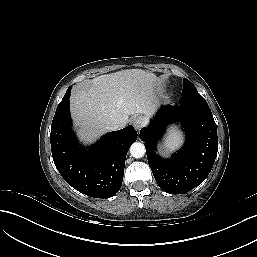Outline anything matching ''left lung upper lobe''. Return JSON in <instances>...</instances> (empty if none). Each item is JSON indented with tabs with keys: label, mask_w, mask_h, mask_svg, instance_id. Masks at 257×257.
<instances>
[{
	"label": "left lung upper lobe",
	"mask_w": 257,
	"mask_h": 257,
	"mask_svg": "<svg viewBox=\"0 0 257 257\" xmlns=\"http://www.w3.org/2000/svg\"><path fill=\"white\" fill-rule=\"evenodd\" d=\"M181 102L193 101L206 103L205 99L198 93L196 87L186 78H183V90Z\"/></svg>",
	"instance_id": "obj_1"
}]
</instances>
